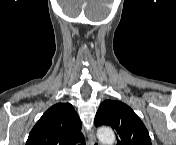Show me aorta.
Here are the masks:
<instances>
[{"instance_id":"762f6f07","label":"aorta","mask_w":176,"mask_h":145,"mask_svg":"<svg viewBox=\"0 0 176 145\" xmlns=\"http://www.w3.org/2000/svg\"><path fill=\"white\" fill-rule=\"evenodd\" d=\"M97 137L102 145H112L115 141V134L113 130L108 127L99 128Z\"/></svg>"}]
</instances>
